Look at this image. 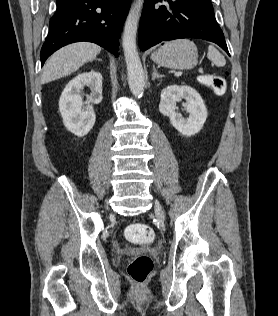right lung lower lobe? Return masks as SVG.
Wrapping results in <instances>:
<instances>
[{
  "label": "right lung lower lobe",
  "instance_id": "obj_1",
  "mask_svg": "<svg viewBox=\"0 0 278 316\" xmlns=\"http://www.w3.org/2000/svg\"><path fill=\"white\" fill-rule=\"evenodd\" d=\"M50 31L42 46L41 66L59 48L78 41L94 42L116 57L118 33L130 0H56Z\"/></svg>",
  "mask_w": 278,
  "mask_h": 316
}]
</instances>
